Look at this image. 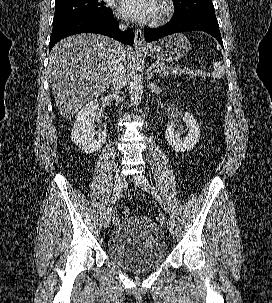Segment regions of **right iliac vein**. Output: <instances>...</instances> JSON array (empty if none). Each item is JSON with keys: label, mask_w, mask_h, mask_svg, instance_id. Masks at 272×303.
<instances>
[{"label": "right iliac vein", "mask_w": 272, "mask_h": 303, "mask_svg": "<svg viewBox=\"0 0 272 303\" xmlns=\"http://www.w3.org/2000/svg\"><path fill=\"white\" fill-rule=\"evenodd\" d=\"M123 182H124V176L121 173V171L118 169L116 171L115 177H114V191L115 193L119 190L122 189L123 187ZM111 221V213L110 215H108V217L106 219H104V228H107L110 224Z\"/></svg>", "instance_id": "right-iliac-vein-1"}]
</instances>
